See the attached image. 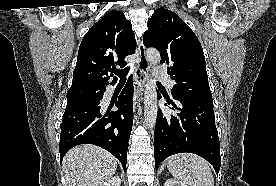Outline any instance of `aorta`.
<instances>
[{
  "instance_id": "1",
  "label": "aorta",
  "mask_w": 276,
  "mask_h": 186,
  "mask_svg": "<svg viewBox=\"0 0 276 186\" xmlns=\"http://www.w3.org/2000/svg\"><path fill=\"white\" fill-rule=\"evenodd\" d=\"M158 50L151 48L146 51V60L149 65H156L160 61ZM157 91L152 77H148L144 91V123L147 129H153L157 119Z\"/></svg>"
}]
</instances>
